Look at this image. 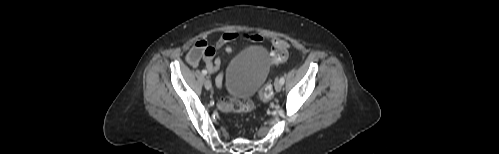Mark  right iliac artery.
Returning <instances> with one entry per match:
<instances>
[{
    "mask_svg": "<svg viewBox=\"0 0 499 154\" xmlns=\"http://www.w3.org/2000/svg\"><path fill=\"white\" fill-rule=\"evenodd\" d=\"M202 74H203V75H206V74H207V71H206V70H202Z\"/></svg>",
    "mask_w": 499,
    "mask_h": 154,
    "instance_id": "1",
    "label": "right iliac artery"
}]
</instances>
